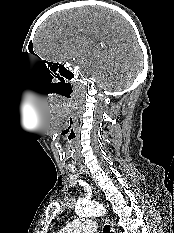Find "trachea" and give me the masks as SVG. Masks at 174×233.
Wrapping results in <instances>:
<instances>
[{
  "instance_id": "3493384b",
  "label": "trachea",
  "mask_w": 174,
  "mask_h": 233,
  "mask_svg": "<svg viewBox=\"0 0 174 233\" xmlns=\"http://www.w3.org/2000/svg\"><path fill=\"white\" fill-rule=\"evenodd\" d=\"M103 233H111L110 232V225H105L103 228Z\"/></svg>"
}]
</instances>
